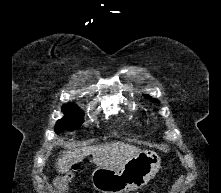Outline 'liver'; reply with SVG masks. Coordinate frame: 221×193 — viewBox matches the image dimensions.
I'll return each mask as SVG.
<instances>
[{"instance_id": "1", "label": "liver", "mask_w": 221, "mask_h": 193, "mask_svg": "<svg viewBox=\"0 0 221 193\" xmlns=\"http://www.w3.org/2000/svg\"><path fill=\"white\" fill-rule=\"evenodd\" d=\"M139 152L141 150L138 147L120 141L73 148L62 152L56 161V167L59 173H66L73 164L79 163L85 157L92 155L93 163L97 167L114 169L123 166Z\"/></svg>"}]
</instances>
